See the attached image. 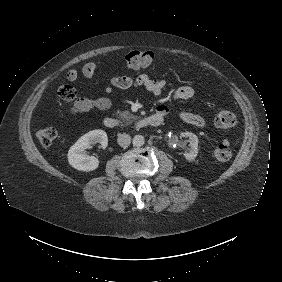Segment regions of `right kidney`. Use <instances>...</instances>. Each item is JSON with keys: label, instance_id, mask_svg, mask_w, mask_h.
Masks as SVG:
<instances>
[{"label": "right kidney", "instance_id": "1", "mask_svg": "<svg viewBox=\"0 0 282 282\" xmlns=\"http://www.w3.org/2000/svg\"><path fill=\"white\" fill-rule=\"evenodd\" d=\"M99 142L102 147L108 144V137L103 130H92L81 136L68 150V164L75 170L91 172L99 168L100 161L94 156H87L86 149L92 143Z\"/></svg>", "mask_w": 282, "mask_h": 282}]
</instances>
